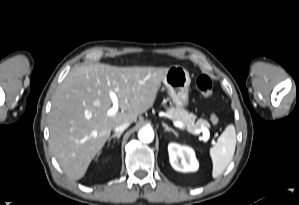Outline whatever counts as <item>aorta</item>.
<instances>
[{
    "label": "aorta",
    "instance_id": "762f6f07",
    "mask_svg": "<svg viewBox=\"0 0 299 205\" xmlns=\"http://www.w3.org/2000/svg\"><path fill=\"white\" fill-rule=\"evenodd\" d=\"M138 138L144 143H150L154 139V131L150 127H144L138 132Z\"/></svg>",
    "mask_w": 299,
    "mask_h": 205
}]
</instances>
